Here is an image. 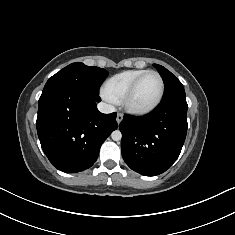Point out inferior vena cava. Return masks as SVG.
<instances>
[{
  "label": "inferior vena cava",
  "mask_w": 235,
  "mask_h": 235,
  "mask_svg": "<svg viewBox=\"0 0 235 235\" xmlns=\"http://www.w3.org/2000/svg\"><path fill=\"white\" fill-rule=\"evenodd\" d=\"M97 107L100 112L105 113V114L112 113L115 111V107L113 105H110L104 102L98 103Z\"/></svg>",
  "instance_id": "inferior-vena-cava-1"
}]
</instances>
